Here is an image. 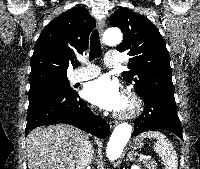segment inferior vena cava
I'll return each instance as SVG.
<instances>
[{"label":"inferior vena cava","mask_w":200,"mask_h":169,"mask_svg":"<svg viewBox=\"0 0 200 169\" xmlns=\"http://www.w3.org/2000/svg\"><path fill=\"white\" fill-rule=\"evenodd\" d=\"M93 160V147L86 140L82 143L77 169H88Z\"/></svg>","instance_id":"inferior-vena-cava-1"}]
</instances>
